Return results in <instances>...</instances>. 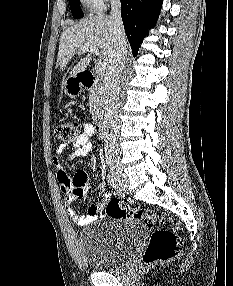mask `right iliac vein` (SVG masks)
I'll list each match as a JSON object with an SVG mask.
<instances>
[{"instance_id":"right-iliac-vein-1","label":"right iliac vein","mask_w":233,"mask_h":286,"mask_svg":"<svg viewBox=\"0 0 233 286\" xmlns=\"http://www.w3.org/2000/svg\"><path fill=\"white\" fill-rule=\"evenodd\" d=\"M108 165L111 173L114 175V177L119 182L121 187L125 190L127 188L128 180L126 175L123 173L119 162L114 158H110L108 160Z\"/></svg>"}]
</instances>
